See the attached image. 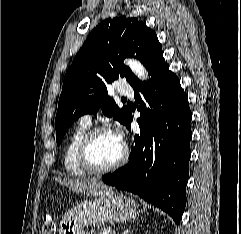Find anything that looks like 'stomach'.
<instances>
[{
  "instance_id": "obj_1",
  "label": "stomach",
  "mask_w": 241,
  "mask_h": 234,
  "mask_svg": "<svg viewBox=\"0 0 241 234\" xmlns=\"http://www.w3.org/2000/svg\"><path fill=\"white\" fill-rule=\"evenodd\" d=\"M138 213V206L133 200L110 190L73 207L61 220L59 234H88L87 229L92 225L130 221Z\"/></svg>"
}]
</instances>
